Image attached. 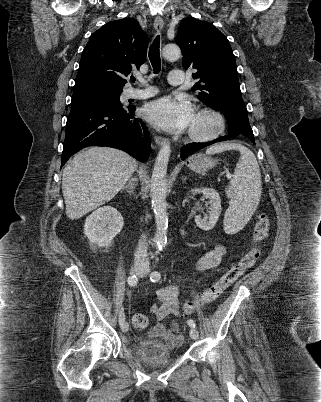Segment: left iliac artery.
I'll return each instance as SVG.
<instances>
[{
    "label": "left iliac artery",
    "mask_w": 321,
    "mask_h": 402,
    "mask_svg": "<svg viewBox=\"0 0 321 402\" xmlns=\"http://www.w3.org/2000/svg\"><path fill=\"white\" fill-rule=\"evenodd\" d=\"M160 278H161V275H160V273L157 272V271L152 272L151 275H150V280H151L152 282H158V281L160 280ZM187 323H188V325H189L191 328H196V324H195V322H194L192 319H189V320L187 321Z\"/></svg>",
    "instance_id": "left-iliac-artery-1"
}]
</instances>
